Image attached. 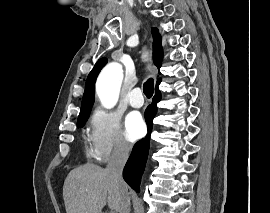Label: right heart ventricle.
<instances>
[{
    "mask_svg": "<svg viewBox=\"0 0 270 213\" xmlns=\"http://www.w3.org/2000/svg\"><path fill=\"white\" fill-rule=\"evenodd\" d=\"M87 154H88V155H93L92 149H91V150H87Z\"/></svg>",
    "mask_w": 270,
    "mask_h": 213,
    "instance_id": "1",
    "label": "right heart ventricle"
}]
</instances>
